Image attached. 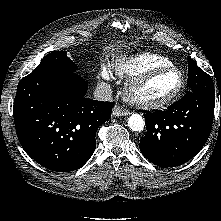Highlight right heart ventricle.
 <instances>
[{
	"mask_svg": "<svg viewBox=\"0 0 221 221\" xmlns=\"http://www.w3.org/2000/svg\"><path fill=\"white\" fill-rule=\"evenodd\" d=\"M171 65L173 63L164 56L153 53H139L118 58L113 63V69L122 78H132L153 68Z\"/></svg>",
	"mask_w": 221,
	"mask_h": 221,
	"instance_id": "1",
	"label": "right heart ventricle"
}]
</instances>
